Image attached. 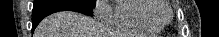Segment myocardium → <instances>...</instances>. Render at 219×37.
<instances>
[{
    "label": "myocardium",
    "mask_w": 219,
    "mask_h": 37,
    "mask_svg": "<svg viewBox=\"0 0 219 37\" xmlns=\"http://www.w3.org/2000/svg\"><path fill=\"white\" fill-rule=\"evenodd\" d=\"M150 2H153L154 4H156V7L149 9L146 12L147 18L152 21L154 24L164 27L165 25L169 24L173 18V10L171 8V6L169 5L168 2L163 1V0H149ZM166 6L170 12V17L168 20L166 21H160L156 18V13L158 12V10L161 7Z\"/></svg>",
    "instance_id": "myocardium-1"
}]
</instances>
